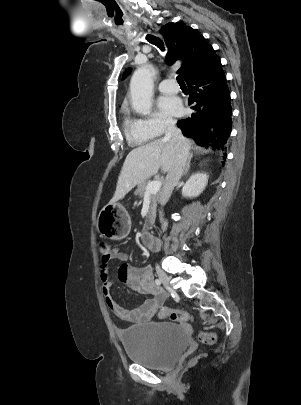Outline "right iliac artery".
<instances>
[{"label": "right iliac artery", "mask_w": 301, "mask_h": 405, "mask_svg": "<svg viewBox=\"0 0 301 405\" xmlns=\"http://www.w3.org/2000/svg\"><path fill=\"white\" fill-rule=\"evenodd\" d=\"M155 283H156V285H158V286L161 285V281H160L159 279H156V280H155Z\"/></svg>", "instance_id": "obj_1"}]
</instances>
